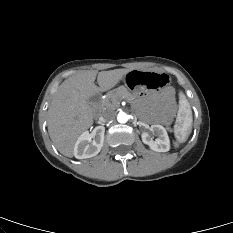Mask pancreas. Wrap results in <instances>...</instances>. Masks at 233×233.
<instances>
[{
    "label": "pancreas",
    "mask_w": 233,
    "mask_h": 233,
    "mask_svg": "<svg viewBox=\"0 0 233 233\" xmlns=\"http://www.w3.org/2000/svg\"><path fill=\"white\" fill-rule=\"evenodd\" d=\"M125 99L127 101H133L134 97L127 91L124 86H120L119 88L110 91L107 93L103 104L106 109L114 110L119 107L120 101Z\"/></svg>",
    "instance_id": "1"
}]
</instances>
